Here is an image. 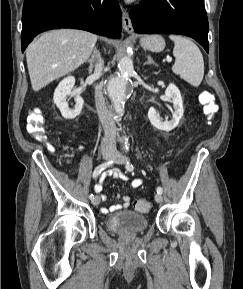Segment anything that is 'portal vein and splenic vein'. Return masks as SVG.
I'll list each match as a JSON object with an SVG mask.
<instances>
[{"label": "portal vein and splenic vein", "instance_id": "18ae733b", "mask_svg": "<svg viewBox=\"0 0 243 289\" xmlns=\"http://www.w3.org/2000/svg\"><path fill=\"white\" fill-rule=\"evenodd\" d=\"M167 61H168V62H171V61H172V59H171V58H168V59H167Z\"/></svg>", "mask_w": 243, "mask_h": 289}]
</instances>
